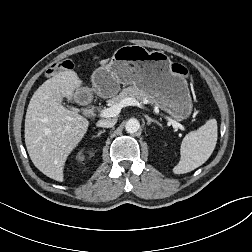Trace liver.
<instances>
[{"instance_id":"obj_1","label":"liver","mask_w":252,"mask_h":252,"mask_svg":"<svg viewBox=\"0 0 252 252\" xmlns=\"http://www.w3.org/2000/svg\"><path fill=\"white\" fill-rule=\"evenodd\" d=\"M108 60L100 61L101 66ZM83 81L76 72L63 71L45 81L33 94L25 117V144L35 167L47 177L64 181L69 154L85 136L89 121L65 108L63 98L77 102ZM85 91L88 87H83Z\"/></svg>"}]
</instances>
